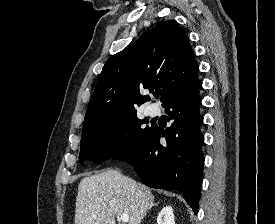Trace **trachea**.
<instances>
[{
    "instance_id": "trachea-1",
    "label": "trachea",
    "mask_w": 275,
    "mask_h": 224,
    "mask_svg": "<svg viewBox=\"0 0 275 224\" xmlns=\"http://www.w3.org/2000/svg\"><path fill=\"white\" fill-rule=\"evenodd\" d=\"M159 96H160V94H159V93H157V94L155 95V97H156V98H158Z\"/></svg>"
}]
</instances>
